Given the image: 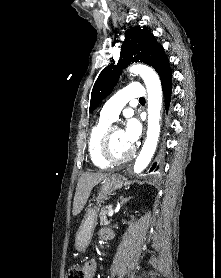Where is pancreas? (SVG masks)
<instances>
[{
    "label": "pancreas",
    "mask_w": 221,
    "mask_h": 278,
    "mask_svg": "<svg viewBox=\"0 0 221 278\" xmlns=\"http://www.w3.org/2000/svg\"><path fill=\"white\" fill-rule=\"evenodd\" d=\"M110 210V207H103L99 213V217H100V224L101 225H108L111 220L108 219L107 217V213Z\"/></svg>",
    "instance_id": "obj_1"
}]
</instances>
